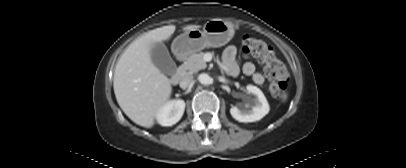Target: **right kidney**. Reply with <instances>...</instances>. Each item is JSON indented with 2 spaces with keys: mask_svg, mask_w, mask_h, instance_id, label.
I'll use <instances>...</instances> for the list:
<instances>
[{
  "mask_svg": "<svg viewBox=\"0 0 406 168\" xmlns=\"http://www.w3.org/2000/svg\"><path fill=\"white\" fill-rule=\"evenodd\" d=\"M184 110L183 100H171L160 109L156 116L157 121L162 126H172L182 118Z\"/></svg>",
  "mask_w": 406,
  "mask_h": 168,
  "instance_id": "ca27d5eb",
  "label": "right kidney"
}]
</instances>
